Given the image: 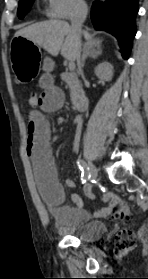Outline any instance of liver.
Here are the masks:
<instances>
[{
  "mask_svg": "<svg viewBox=\"0 0 148 279\" xmlns=\"http://www.w3.org/2000/svg\"><path fill=\"white\" fill-rule=\"evenodd\" d=\"M88 45H99L100 41L93 39L88 31L83 32ZM25 37L34 44L42 47L52 56L61 55L69 60H76V39L70 25L66 21L49 20L29 25L15 34Z\"/></svg>",
  "mask_w": 148,
  "mask_h": 279,
  "instance_id": "6515ba94",
  "label": "liver"
}]
</instances>
